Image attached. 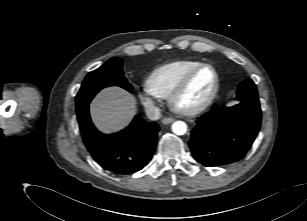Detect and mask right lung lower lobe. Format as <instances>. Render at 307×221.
Returning <instances> with one entry per match:
<instances>
[{
  "instance_id": "1",
  "label": "right lung lower lobe",
  "mask_w": 307,
  "mask_h": 221,
  "mask_svg": "<svg viewBox=\"0 0 307 221\" xmlns=\"http://www.w3.org/2000/svg\"><path fill=\"white\" fill-rule=\"evenodd\" d=\"M83 142L92 158L115 174L141 170L152 158L159 126L135 116L132 123L115 134H102L91 122L88 106L77 112Z\"/></svg>"
}]
</instances>
